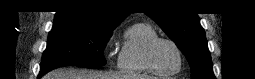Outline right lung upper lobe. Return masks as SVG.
<instances>
[{
    "instance_id": "cb5924a9",
    "label": "right lung upper lobe",
    "mask_w": 255,
    "mask_h": 79,
    "mask_svg": "<svg viewBox=\"0 0 255 79\" xmlns=\"http://www.w3.org/2000/svg\"><path fill=\"white\" fill-rule=\"evenodd\" d=\"M128 14L100 0H72L56 13L54 25L113 30Z\"/></svg>"
}]
</instances>
